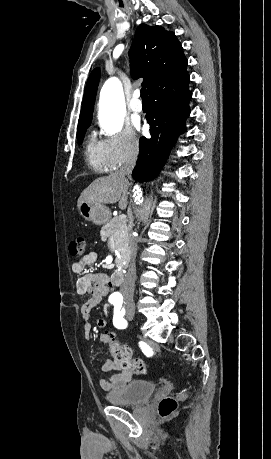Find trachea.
<instances>
[{"mask_svg":"<svg viewBox=\"0 0 271 459\" xmlns=\"http://www.w3.org/2000/svg\"><path fill=\"white\" fill-rule=\"evenodd\" d=\"M141 98L143 102H148L147 90L146 88L141 89Z\"/></svg>","mask_w":271,"mask_h":459,"instance_id":"1","label":"trachea"}]
</instances>
